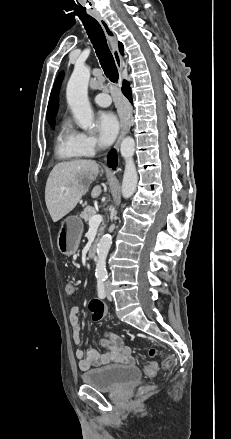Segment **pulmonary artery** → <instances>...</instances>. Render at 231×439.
Listing matches in <instances>:
<instances>
[{
  "label": "pulmonary artery",
  "mask_w": 231,
  "mask_h": 439,
  "mask_svg": "<svg viewBox=\"0 0 231 439\" xmlns=\"http://www.w3.org/2000/svg\"><path fill=\"white\" fill-rule=\"evenodd\" d=\"M94 102L100 107H108L111 104V97L106 92L97 94Z\"/></svg>",
  "instance_id": "obj_1"
}]
</instances>
